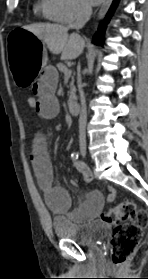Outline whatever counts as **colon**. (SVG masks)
Instances as JSON below:
<instances>
[{"label":"colon","mask_w":148,"mask_h":279,"mask_svg":"<svg viewBox=\"0 0 148 279\" xmlns=\"http://www.w3.org/2000/svg\"><path fill=\"white\" fill-rule=\"evenodd\" d=\"M27 105L36 109L37 98L34 95L29 96ZM101 218L115 225L110 237L111 260L114 265H121L134 254L139 246L143 236V227L148 223V213L138 210L134 201L126 199L104 212Z\"/></svg>","instance_id":"obj_1"}]
</instances>
